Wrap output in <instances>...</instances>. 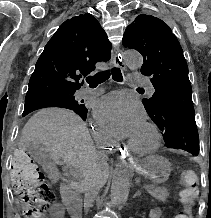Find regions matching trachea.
Wrapping results in <instances>:
<instances>
[{
  "mask_svg": "<svg viewBox=\"0 0 211 218\" xmlns=\"http://www.w3.org/2000/svg\"><path fill=\"white\" fill-rule=\"evenodd\" d=\"M110 75H112L113 80H115L116 82L123 81L122 73L118 67L112 68L111 70L102 71L101 73H97L96 75H94V77H87L86 81L89 84H97L98 85L99 83H103L106 80H108Z\"/></svg>",
  "mask_w": 211,
  "mask_h": 218,
  "instance_id": "1",
  "label": "trachea"
}]
</instances>
